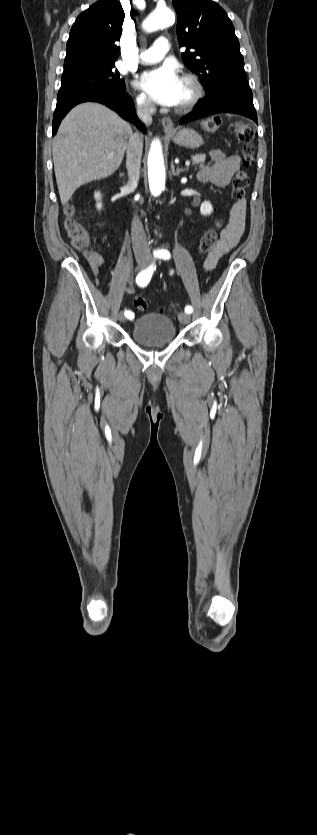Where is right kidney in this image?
<instances>
[{"label": "right kidney", "instance_id": "ca27d5eb", "mask_svg": "<svg viewBox=\"0 0 317 835\" xmlns=\"http://www.w3.org/2000/svg\"><path fill=\"white\" fill-rule=\"evenodd\" d=\"M95 199L97 200V208L100 210L102 208V204L100 202L101 194L99 192L95 193Z\"/></svg>", "mask_w": 317, "mask_h": 835}]
</instances>
